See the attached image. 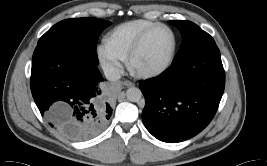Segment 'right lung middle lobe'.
I'll return each mask as SVG.
<instances>
[{
	"instance_id": "1",
	"label": "right lung middle lobe",
	"mask_w": 267,
	"mask_h": 166,
	"mask_svg": "<svg viewBox=\"0 0 267 166\" xmlns=\"http://www.w3.org/2000/svg\"><path fill=\"white\" fill-rule=\"evenodd\" d=\"M110 24L109 21L96 18L66 19L50 28L38 44L53 42L64 45L98 65L96 41Z\"/></svg>"
}]
</instances>
